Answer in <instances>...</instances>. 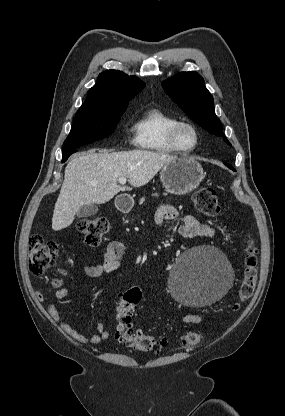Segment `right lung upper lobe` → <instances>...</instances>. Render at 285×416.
<instances>
[{
    "mask_svg": "<svg viewBox=\"0 0 285 416\" xmlns=\"http://www.w3.org/2000/svg\"><path fill=\"white\" fill-rule=\"evenodd\" d=\"M144 86L145 84L135 76H128L118 70H107L98 76L97 83L88 91L87 99L81 107L127 106L128 101Z\"/></svg>",
    "mask_w": 285,
    "mask_h": 416,
    "instance_id": "right-lung-upper-lobe-1",
    "label": "right lung upper lobe"
}]
</instances>
